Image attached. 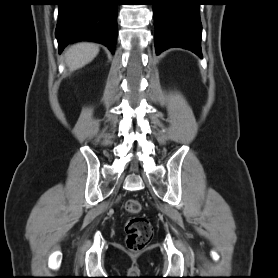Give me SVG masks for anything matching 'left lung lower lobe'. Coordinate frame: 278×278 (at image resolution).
<instances>
[{
    "label": "left lung lower lobe",
    "mask_w": 278,
    "mask_h": 278,
    "mask_svg": "<svg viewBox=\"0 0 278 278\" xmlns=\"http://www.w3.org/2000/svg\"><path fill=\"white\" fill-rule=\"evenodd\" d=\"M152 5L157 55L168 48L180 47L202 58L201 0H153Z\"/></svg>",
    "instance_id": "obj_1"
}]
</instances>
